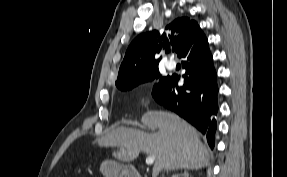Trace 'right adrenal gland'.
Masks as SVG:
<instances>
[{
  "label": "right adrenal gland",
  "instance_id": "right-adrenal-gland-1",
  "mask_svg": "<svg viewBox=\"0 0 287 177\" xmlns=\"http://www.w3.org/2000/svg\"><path fill=\"white\" fill-rule=\"evenodd\" d=\"M180 176H182V177H189V174H188L187 170H185L183 173L175 174L172 177H180Z\"/></svg>",
  "mask_w": 287,
  "mask_h": 177
}]
</instances>
